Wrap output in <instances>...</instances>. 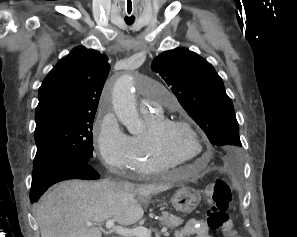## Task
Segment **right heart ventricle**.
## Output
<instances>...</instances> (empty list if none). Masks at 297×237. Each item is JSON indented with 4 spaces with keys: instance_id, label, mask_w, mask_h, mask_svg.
Here are the masks:
<instances>
[{
    "instance_id": "e07e8e85",
    "label": "right heart ventricle",
    "mask_w": 297,
    "mask_h": 237,
    "mask_svg": "<svg viewBox=\"0 0 297 237\" xmlns=\"http://www.w3.org/2000/svg\"><path fill=\"white\" fill-rule=\"evenodd\" d=\"M147 130L148 128L162 118L159 114L144 113ZM130 137L131 140V163L130 169L140 175H152L161 172H167L175 169L178 165L161 160L152 150L146 133Z\"/></svg>"
}]
</instances>
